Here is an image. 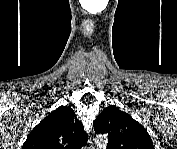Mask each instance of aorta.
Segmentation results:
<instances>
[{
  "mask_svg": "<svg viewBox=\"0 0 177 149\" xmlns=\"http://www.w3.org/2000/svg\"><path fill=\"white\" fill-rule=\"evenodd\" d=\"M97 142L102 143V144L105 145V144L107 143V138H106V136H104V135L98 136Z\"/></svg>",
  "mask_w": 177,
  "mask_h": 149,
  "instance_id": "762f6f07",
  "label": "aorta"
}]
</instances>
